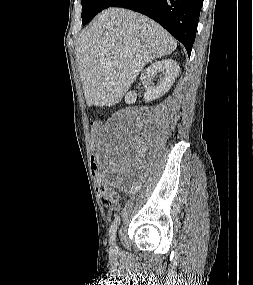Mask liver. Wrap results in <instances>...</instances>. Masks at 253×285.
<instances>
[{"mask_svg":"<svg viewBox=\"0 0 253 285\" xmlns=\"http://www.w3.org/2000/svg\"><path fill=\"white\" fill-rule=\"evenodd\" d=\"M176 47V40L144 15L122 8L102 11L75 48L87 106L117 104L147 63Z\"/></svg>","mask_w":253,"mask_h":285,"instance_id":"liver-1","label":"liver"}]
</instances>
